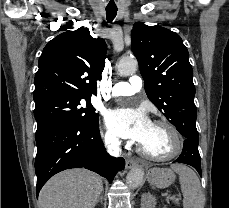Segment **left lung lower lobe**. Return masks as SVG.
<instances>
[{"label": "left lung lower lobe", "instance_id": "left-lung-lower-lobe-1", "mask_svg": "<svg viewBox=\"0 0 229 208\" xmlns=\"http://www.w3.org/2000/svg\"><path fill=\"white\" fill-rule=\"evenodd\" d=\"M184 137L183 151L174 162L191 165L198 171L200 176H202L201 159L198 151V132L195 129H188L184 132Z\"/></svg>", "mask_w": 229, "mask_h": 208}]
</instances>
